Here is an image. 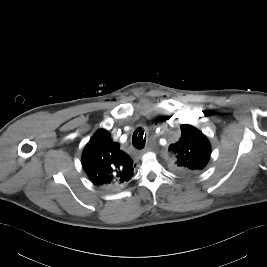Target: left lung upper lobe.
<instances>
[{
    "label": "left lung upper lobe",
    "mask_w": 267,
    "mask_h": 267,
    "mask_svg": "<svg viewBox=\"0 0 267 267\" xmlns=\"http://www.w3.org/2000/svg\"><path fill=\"white\" fill-rule=\"evenodd\" d=\"M181 137L169 146L177 158L176 171L183 175L201 173L210 159L211 148L207 137L197 128L183 124Z\"/></svg>",
    "instance_id": "left-lung-upper-lobe-1"
}]
</instances>
